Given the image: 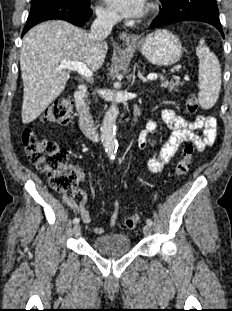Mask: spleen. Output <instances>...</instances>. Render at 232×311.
<instances>
[{
	"instance_id": "1",
	"label": "spleen",
	"mask_w": 232,
	"mask_h": 311,
	"mask_svg": "<svg viewBox=\"0 0 232 311\" xmlns=\"http://www.w3.org/2000/svg\"><path fill=\"white\" fill-rule=\"evenodd\" d=\"M199 59V83L198 101L202 108L210 109L217 102L221 89V66L213 52L205 44L202 38L196 49Z\"/></svg>"
}]
</instances>
